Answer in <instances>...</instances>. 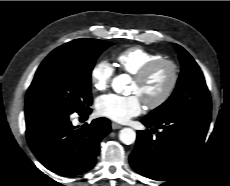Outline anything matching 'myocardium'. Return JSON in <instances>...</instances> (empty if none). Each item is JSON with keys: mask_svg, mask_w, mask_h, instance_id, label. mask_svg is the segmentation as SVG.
Instances as JSON below:
<instances>
[{"mask_svg": "<svg viewBox=\"0 0 230 186\" xmlns=\"http://www.w3.org/2000/svg\"><path fill=\"white\" fill-rule=\"evenodd\" d=\"M161 67H167L169 69L170 79L167 87L157 99L152 101L143 100L144 104L149 109H156L165 104L170 99L179 81V67L173 60L168 58H161L146 65L137 74L134 75V81L137 84L142 85Z\"/></svg>", "mask_w": 230, "mask_h": 186, "instance_id": "f54148a6", "label": "myocardium"}]
</instances>
